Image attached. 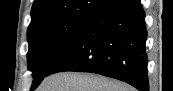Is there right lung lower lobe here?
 Instances as JSON below:
<instances>
[{
  "label": "right lung lower lobe",
  "mask_w": 173,
  "mask_h": 91,
  "mask_svg": "<svg viewBox=\"0 0 173 91\" xmlns=\"http://www.w3.org/2000/svg\"><path fill=\"white\" fill-rule=\"evenodd\" d=\"M146 38L140 0H113L91 15L46 76L60 71L91 72L149 91Z\"/></svg>",
  "instance_id": "obj_1"
}]
</instances>
